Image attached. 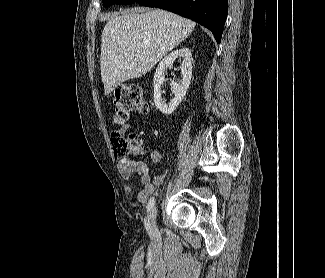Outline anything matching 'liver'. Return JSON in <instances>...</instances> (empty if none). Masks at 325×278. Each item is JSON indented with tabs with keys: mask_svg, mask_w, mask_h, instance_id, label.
Here are the masks:
<instances>
[{
	"mask_svg": "<svg viewBox=\"0 0 325 278\" xmlns=\"http://www.w3.org/2000/svg\"><path fill=\"white\" fill-rule=\"evenodd\" d=\"M195 23L174 13L148 8L112 15L101 39L100 70L105 95L123 82L149 72L193 31Z\"/></svg>",
	"mask_w": 325,
	"mask_h": 278,
	"instance_id": "liver-1",
	"label": "liver"
}]
</instances>
